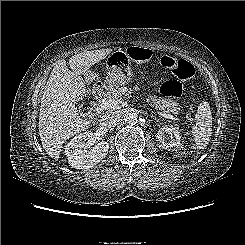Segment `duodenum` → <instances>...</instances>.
<instances>
[{
  "label": "duodenum",
  "instance_id": "410a0bca",
  "mask_svg": "<svg viewBox=\"0 0 245 245\" xmlns=\"http://www.w3.org/2000/svg\"><path fill=\"white\" fill-rule=\"evenodd\" d=\"M104 92H105V86L98 84L92 88L91 95L93 98H99L104 94Z\"/></svg>",
  "mask_w": 245,
  "mask_h": 245
}]
</instances>
